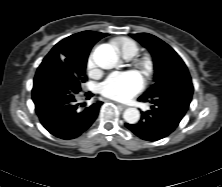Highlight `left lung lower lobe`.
Listing matches in <instances>:
<instances>
[{"label": "left lung lower lobe", "mask_w": 222, "mask_h": 187, "mask_svg": "<svg viewBox=\"0 0 222 187\" xmlns=\"http://www.w3.org/2000/svg\"><path fill=\"white\" fill-rule=\"evenodd\" d=\"M192 83L181 85L180 96L170 99L171 91H163L155 97L138 98L142 102H150L152 110L142 112L138 124L125 126L138 137L148 141L160 140L172 133L189 108L193 94Z\"/></svg>", "instance_id": "left-lung-lower-lobe-1"}]
</instances>
